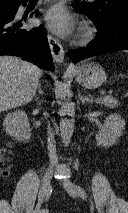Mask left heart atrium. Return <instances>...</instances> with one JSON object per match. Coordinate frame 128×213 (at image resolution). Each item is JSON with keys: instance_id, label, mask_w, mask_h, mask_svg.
Wrapping results in <instances>:
<instances>
[{"instance_id": "1", "label": "left heart atrium", "mask_w": 128, "mask_h": 213, "mask_svg": "<svg viewBox=\"0 0 128 213\" xmlns=\"http://www.w3.org/2000/svg\"><path fill=\"white\" fill-rule=\"evenodd\" d=\"M39 23L47 29L61 35L69 34L73 28V22L70 15L66 9L60 5L50 8L41 17Z\"/></svg>"}]
</instances>
